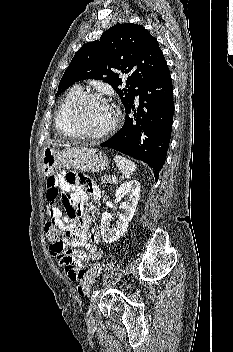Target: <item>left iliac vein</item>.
Returning a JSON list of instances; mask_svg holds the SVG:
<instances>
[{"mask_svg": "<svg viewBox=\"0 0 233 352\" xmlns=\"http://www.w3.org/2000/svg\"><path fill=\"white\" fill-rule=\"evenodd\" d=\"M99 297L93 298L90 302L88 313H87V321L90 323L93 321V313L98 304Z\"/></svg>", "mask_w": 233, "mask_h": 352, "instance_id": "left-iliac-vein-1", "label": "left iliac vein"}]
</instances>
